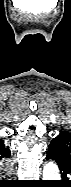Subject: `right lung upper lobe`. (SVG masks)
Wrapping results in <instances>:
<instances>
[{
    "label": "right lung upper lobe",
    "instance_id": "1",
    "mask_svg": "<svg viewBox=\"0 0 71 187\" xmlns=\"http://www.w3.org/2000/svg\"><path fill=\"white\" fill-rule=\"evenodd\" d=\"M10 154L9 147L5 145L4 140L0 139V156L9 158Z\"/></svg>",
    "mask_w": 71,
    "mask_h": 187
}]
</instances>
